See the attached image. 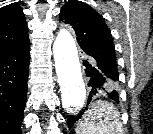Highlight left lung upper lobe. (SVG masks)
Here are the masks:
<instances>
[{
    "label": "left lung upper lobe",
    "instance_id": "left-lung-upper-lobe-1",
    "mask_svg": "<svg viewBox=\"0 0 153 134\" xmlns=\"http://www.w3.org/2000/svg\"><path fill=\"white\" fill-rule=\"evenodd\" d=\"M60 21L72 25L77 42L90 59L101 62L118 74L112 35L103 17L80 1H67L60 11ZM119 77L109 82L107 90H116Z\"/></svg>",
    "mask_w": 153,
    "mask_h": 134
}]
</instances>
